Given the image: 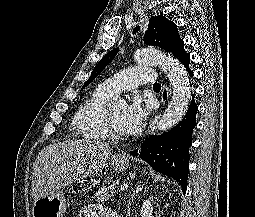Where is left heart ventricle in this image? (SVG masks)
Returning a JSON list of instances; mask_svg holds the SVG:
<instances>
[{
	"mask_svg": "<svg viewBox=\"0 0 255 217\" xmlns=\"http://www.w3.org/2000/svg\"><path fill=\"white\" fill-rule=\"evenodd\" d=\"M124 111V107H116L109 110L114 127L121 134H124L122 129V118Z\"/></svg>",
	"mask_w": 255,
	"mask_h": 217,
	"instance_id": "obj_1",
	"label": "left heart ventricle"
}]
</instances>
